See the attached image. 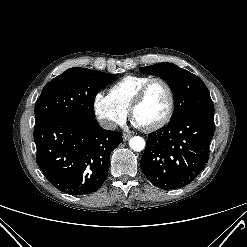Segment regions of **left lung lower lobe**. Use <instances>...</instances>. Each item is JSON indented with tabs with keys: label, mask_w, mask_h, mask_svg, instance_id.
Instances as JSON below:
<instances>
[{
	"label": "left lung lower lobe",
	"mask_w": 247,
	"mask_h": 247,
	"mask_svg": "<svg viewBox=\"0 0 247 247\" xmlns=\"http://www.w3.org/2000/svg\"><path fill=\"white\" fill-rule=\"evenodd\" d=\"M214 115L193 113L148 136L140 166L155 186L177 189L191 183L209 158Z\"/></svg>",
	"instance_id": "obj_1"
}]
</instances>
